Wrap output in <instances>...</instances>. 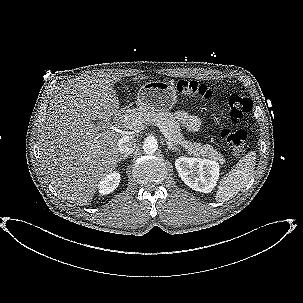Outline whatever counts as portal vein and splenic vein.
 Here are the masks:
<instances>
[{"label":"portal vein and splenic vein","mask_w":303,"mask_h":303,"mask_svg":"<svg viewBox=\"0 0 303 303\" xmlns=\"http://www.w3.org/2000/svg\"><path fill=\"white\" fill-rule=\"evenodd\" d=\"M155 125L157 127H159V129L162 131L165 138L172 142L171 136H170L169 132L167 131V129L159 123H155ZM125 126H126V128L132 129V126H129V125H125Z\"/></svg>","instance_id":"18ae733b"}]
</instances>
